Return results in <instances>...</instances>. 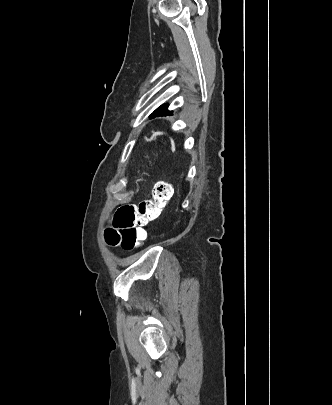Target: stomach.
Listing matches in <instances>:
<instances>
[{
  "mask_svg": "<svg viewBox=\"0 0 332 405\" xmlns=\"http://www.w3.org/2000/svg\"><path fill=\"white\" fill-rule=\"evenodd\" d=\"M155 136H153L150 140H152Z\"/></svg>",
  "mask_w": 332,
  "mask_h": 405,
  "instance_id": "0dacf381",
  "label": "stomach"
}]
</instances>
